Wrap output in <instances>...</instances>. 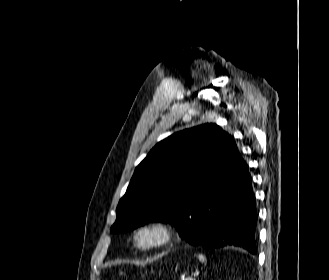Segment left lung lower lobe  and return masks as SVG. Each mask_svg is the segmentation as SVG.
<instances>
[{
	"mask_svg": "<svg viewBox=\"0 0 329 280\" xmlns=\"http://www.w3.org/2000/svg\"><path fill=\"white\" fill-rule=\"evenodd\" d=\"M226 182L201 203L195 221L186 220L177 230L195 246H237L255 254L256 202L248 166L239 153L230 163Z\"/></svg>",
	"mask_w": 329,
	"mask_h": 280,
	"instance_id": "obj_1",
	"label": "left lung lower lobe"
}]
</instances>
